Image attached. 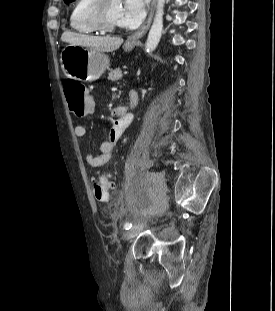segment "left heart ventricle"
I'll use <instances>...</instances> for the list:
<instances>
[{
	"label": "left heart ventricle",
	"instance_id": "left-heart-ventricle-1",
	"mask_svg": "<svg viewBox=\"0 0 275 311\" xmlns=\"http://www.w3.org/2000/svg\"><path fill=\"white\" fill-rule=\"evenodd\" d=\"M122 8L121 0H109L107 5V19L113 23L120 25L119 15Z\"/></svg>",
	"mask_w": 275,
	"mask_h": 311
}]
</instances>
